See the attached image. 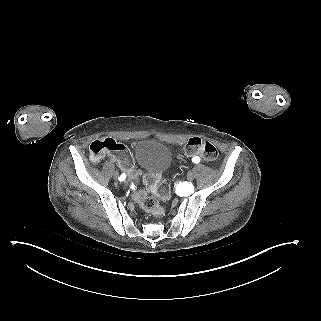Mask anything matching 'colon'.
I'll use <instances>...</instances> for the list:
<instances>
[{
	"instance_id": "5ec220e1",
	"label": "colon",
	"mask_w": 321,
	"mask_h": 321,
	"mask_svg": "<svg viewBox=\"0 0 321 321\" xmlns=\"http://www.w3.org/2000/svg\"><path fill=\"white\" fill-rule=\"evenodd\" d=\"M106 154L111 155L127 174L126 185L132 191L133 198L137 204L150 215L162 216L164 210L159 204L158 198H168L170 194L169 184L160 175L146 174V184L153 195L146 191L137 190L138 173L128 149L113 138L96 140L90 145V159L92 162H98ZM183 154L190 158L199 157L210 163H215L218 158L216 147L198 137L190 138L187 141Z\"/></svg>"
}]
</instances>
